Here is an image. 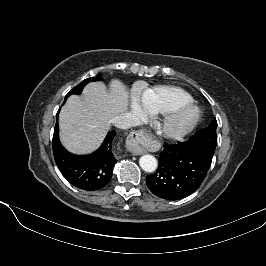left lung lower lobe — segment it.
<instances>
[{
  "mask_svg": "<svg viewBox=\"0 0 266 266\" xmlns=\"http://www.w3.org/2000/svg\"><path fill=\"white\" fill-rule=\"evenodd\" d=\"M211 162L191 143V138L176 145L164 144L157 171L146 176L147 186L162 199L185 198L201 185Z\"/></svg>",
  "mask_w": 266,
  "mask_h": 266,
  "instance_id": "left-lung-lower-lobe-1",
  "label": "left lung lower lobe"
}]
</instances>
